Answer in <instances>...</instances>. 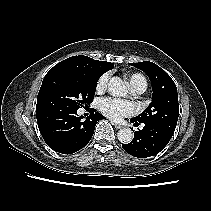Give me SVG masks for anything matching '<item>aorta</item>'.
Returning <instances> with one entry per match:
<instances>
[{
	"instance_id": "1",
	"label": "aorta",
	"mask_w": 211,
	"mask_h": 211,
	"mask_svg": "<svg viewBox=\"0 0 211 211\" xmlns=\"http://www.w3.org/2000/svg\"><path fill=\"white\" fill-rule=\"evenodd\" d=\"M108 91L112 96L124 97L128 93L127 86L119 77H112L108 83ZM134 134L131 129L125 128L119 130L117 134L118 140L123 144H128L133 140Z\"/></svg>"
}]
</instances>
